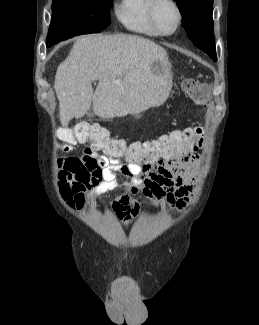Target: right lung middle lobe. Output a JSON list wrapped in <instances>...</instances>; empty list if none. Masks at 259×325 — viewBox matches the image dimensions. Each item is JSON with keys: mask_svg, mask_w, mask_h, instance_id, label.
<instances>
[{"mask_svg": "<svg viewBox=\"0 0 259 325\" xmlns=\"http://www.w3.org/2000/svg\"><path fill=\"white\" fill-rule=\"evenodd\" d=\"M112 0H53L47 47L76 35L98 33L110 24Z\"/></svg>", "mask_w": 259, "mask_h": 325, "instance_id": "right-lung-middle-lobe-1", "label": "right lung middle lobe"}]
</instances>
